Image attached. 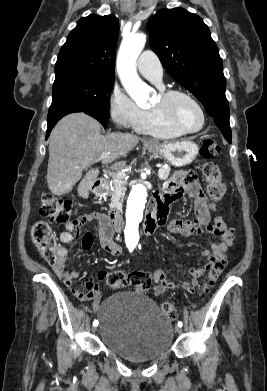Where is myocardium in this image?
Masks as SVG:
<instances>
[{"instance_id":"f54148a6","label":"myocardium","mask_w":267,"mask_h":391,"mask_svg":"<svg viewBox=\"0 0 267 391\" xmlns=\"http://www.w3.org/2000/svg\"><path fill=\"white\" fill-rule=\"evenodd\" d=\"M176 96H181L186 99H188L190 102H192L197 109L200 112L201 115V125L194 130H188L182 128L180 125H178L174 120L170 117V115L167 112V104L169 101L176 97ZM160 99H161V104L157 107L153 108V111L156 115V117L163 122L164 124L168 125L172 129L180 132L181 134H194L202 131L206 125V113L204 111V108L200 104V102L190 93L183 91V90H178V89H170V90H165L161 92L160 94Z\"/></svg>"}]
</instances>
